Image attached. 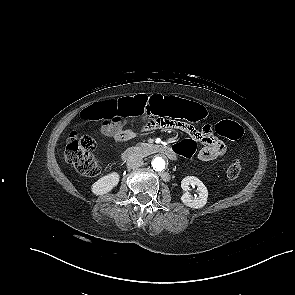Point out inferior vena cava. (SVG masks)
I'll return each instance as SVG.
<instances>
[{
    "label": "inferior vena cava",
    "instance_id": "602c4592",
    "mask_svg": "<svg viewBox=\"0 0 295 295\" xmlns=\"http://www.w3.org/2000/svg\"><path fill=\"white\" fill-rule=\"evenodd\" d=\"M127 167L129 169H136L138 167H141L143 165V159L139 157H130L127 160Z\"/></svg>",
    "mask_w": 295,
    "mask_h": 295
}]
</instances>
